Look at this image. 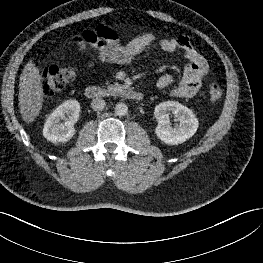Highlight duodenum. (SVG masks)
Listing matches in <instances>:
<instances>
[{
    "instance_id": "1",
    "label": "duodenum",
    "mask_w": 263,
    "mask_h": 263,
    "mask_svg": "<svg viewBox=\"0 0 263 263\" xmlns=\"http://www.w3.org/2000/svg\"><path fill=\"white\" fill-rule=\"evenodd\" d=\"M85 96L89 99L103 98L106 96H121L130 100L140 101L143 94L131 87H121L115 90H108L101 86L91 85L85 89Z\"/></svg>"
}]
</instances>
